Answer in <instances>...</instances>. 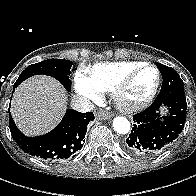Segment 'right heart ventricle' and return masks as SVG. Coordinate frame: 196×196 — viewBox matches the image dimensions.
I'll use <instances>...</instances> for the list:
<instances>
[{
    "label": "right heart ventricle",
    "mask_w": 196,
    "mask_h": 196,
    "mask_svg": "<svg viewBox=\"0 0 196 196\" xmlns=\"http://www.w3.org/2000/svg\"><path fill=\"white\" fill-rule=\"evenodd\" d=\"M142 64L140 61L98 63L88 69V76L100 91L112 92L125 75Z\"/></svg>",
    "instance_id": "obj_1"
}]
</instances>
